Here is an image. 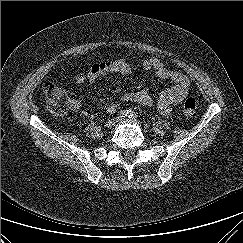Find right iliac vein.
I'll use <instances>...</instances> for the list:
<instances>
[{
  "label": "right iliac vein",
  "instance_id": "63e3f726",
  "mask_svg": "<svg viewBox=\"0 0 243 243\" xmlns=\"http://www.w3.org/2000/svg\"><path fill=\"white\" fill-rule=\"evenodd\" d=\"M115 123H116V120H115V119H110V120L106 121V123H105V127L108 128V129H110V128L113 127V125H114Z\"/></svg>",
  "mask_w": 243,
  "mask_h": 243
}]
</instances>
